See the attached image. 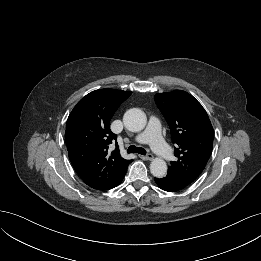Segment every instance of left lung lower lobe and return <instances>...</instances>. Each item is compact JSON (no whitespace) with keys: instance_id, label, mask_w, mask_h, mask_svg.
Listing matches in <instances>:
<instances>
[{"instance_id":"1","label":"left lung lower lobe","mask_w":261,"mask_h":261,"mask_svg":"<svg viewBox=\"0 0 261 261\" xmlns=\"http://www.w3.org/2000/svg\"><path fill=\"white\" fill-rule=\"evenodd\" d=\"M155 182L162 190L168 192L179 191L189 185L172 174H167L163 178H155Z\"/></svg>"}]
</instances>
